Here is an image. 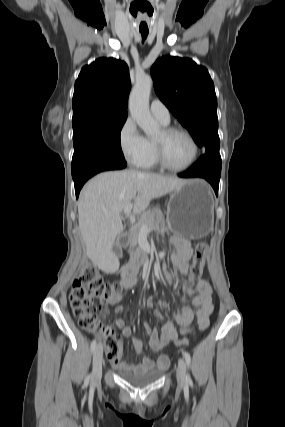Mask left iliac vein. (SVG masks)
Segmentation results:
<instances>
[{
    "label": "left iliac vein",
    "mask_w": 285,
    "mask_h": 427,
    "mask_svg": "<svg viewBox=\"0 0 285 427\" xmlns=\"http://www.w3.org/2000/svg\"><path fill=\"white\" fill-rule=\"evenodd\" d=\"M176 376L179 386L183 387L186 383V365L182 358H180L178 361Z\"/></svg>",
    "instance_id": "obj_1"
}]
</instances>
